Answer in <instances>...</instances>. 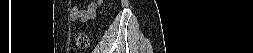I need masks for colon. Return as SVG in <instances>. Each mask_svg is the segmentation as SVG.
<instances>
[{
    "label": "colon",
    "instance_id": "colon-1",
    "mask_svg": "<svg viewBox=\"0 0 253 53\" xmlns=\"http://www.w3.org/2000/svg\"><path fill=\"white\" fill-rule=\"evenodd\" d=\"M90 38L87 33H79L76 36V47L78 49H85L89 46Z\"/></svg>",
    "mask_w": 253,
    "mask_h": 53
}]
</instances>
